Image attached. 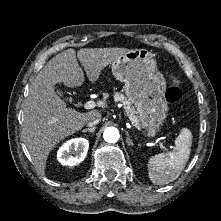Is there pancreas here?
Segmentation results:
<instances>
[{"label":"pancreas","instance_id":"obj_1","mask_svg":"<svg viewBox=\"0 0 221 221\" xmlns=\"http://www.w3.org/2000/svg\"><path fill=\"white\" fill-rule=\"evenodd\" d=\"M114 101L115 102H120L123 104L125 112L129 116L130 121L136 126L140 127V122L138 120V117L135 115L136 110L132 106V103L129 99H127L122 93L117 92L114 94Z\"/></svg>","mask_w":221,"mask_h":221}]
</instances>
